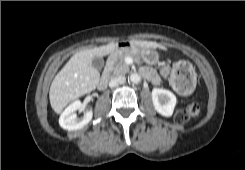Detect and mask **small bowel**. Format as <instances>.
Returning a JSON list of instances; mask_svg holds the SVG:
<instances>
[{
	"instance_id": "small-bowel-1",
	"label": "small bowel",
	"mask_w": 245,
	"mask_h": 170,
	"mask_svg": "<svg viewBox=\"0 0 245 170\" xmlns=\"http://www.w3.org/2000/svg\"><path fill=\"white\" fill-rule=\"evenodd\" d=\"M142 74L148 78L149 80H151L153 83H158L159 82V78L158 76L150 69L148 68H144L142 70ZM161 74L162 76L169 80L171 78V75H172V70H171V67L169 65H166L162 68V71H161Z\"/></svg>"
}]
</instances>
